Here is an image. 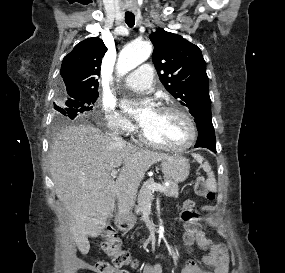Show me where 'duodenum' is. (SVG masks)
Masks as SVG:
<instances>
[{
  "label": "duodenum",
  "instance_id": "1",
  "mask_svg": "<svg viewBox=\"0 0 285 273\" xmlns=\"http://www.w3.org/2000/svg\"><path fill=\"white\" fill-rule=\"evenodd\" d=\"M115 222L120 225V226H125L127 225V222L119 215L116 216Z\"/></svg>",
  "mask_w": 285,
  "mask_h": 273
}]
</instances>
